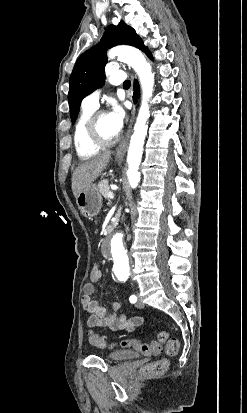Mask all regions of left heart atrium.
Masks as SVG:
<instances>
[{"instance_id": "39dd6f15", "label": "left heart atrium", "mask_w": 247, "mask_h": 413, "mask_svg": "<svg viewBox=\"0 0 247 413\" xmlns=\"http://www.w3.org/2000/svg\"><path fill=\"white\" fill-rule=\"evenodd\" d=\"M104 119L105 124L111 129L114 135L118 136L124 123V111L121 106L113 101Z\"/></svg>"}]
</instances>
